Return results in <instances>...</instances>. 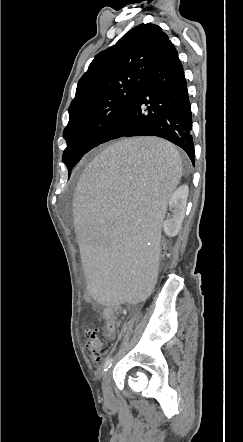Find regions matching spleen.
<instances>
[{
	"label": "spleen",
	"instance_id": "3e777b00",
	"mask_svg": "<svg viewBox=\"0 0 243 442\" xmlns=\"http://www.w3.org/2000/svg\"><path fill=\"white\" fill-rule=\"evenodd\" d=\"M182 173L178 151L157 138L121 141L87 164L77 179L73 226L94 302L141 307L150 296L166 202Z\"/></svg>",
	"mask_w": 243,
	"mask_h": 442
}]
</instances>
